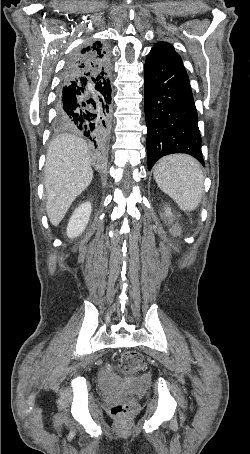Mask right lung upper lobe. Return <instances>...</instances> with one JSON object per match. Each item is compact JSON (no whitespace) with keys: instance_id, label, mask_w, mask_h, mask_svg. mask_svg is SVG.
<instances>
[{"instance_id":"1","label":"right lung upper lobe","mask_w":250,"mask_h":454,"mask_svg":"<svg viewBox=\"0 0 250 454\" xmlns=\"http://www.w3.org/2000/svg\"><path fill=\"white\" fill-rule=\"evenodd\" d=\"M102 47L103 44L99 41L93 43V49H100ZM88 53V51H83L82 55L84 56L85 60L75 62L70 68L66 70V73L71 75L75 72H80L85 68H90L95 73H100L102 70H109V57L107 61H104V55H101L100 52L91 54Z\"/></svg>"}]
</instances>
